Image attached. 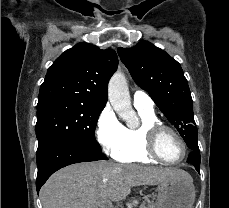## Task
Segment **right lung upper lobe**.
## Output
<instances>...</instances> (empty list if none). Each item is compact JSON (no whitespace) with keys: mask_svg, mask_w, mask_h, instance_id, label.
Wrapping results in <instances>:
<instances>
[{"mask_svg":"<svg viewBox=\"0 0 229 208\" xmlns=\"http://www.w3.org/2000/svg\"><path fill=\"white\" fill-rule=\"evenodd\" d=\"M117 65L114 50L78 43L49 67L40 87L38 102L66 99L101 112L108 99L109 79Z\"/></svg>","mask_w":229,"mask_h":208,"instance_id":"1","label":"right lung upper lobe"}]
</instances>
